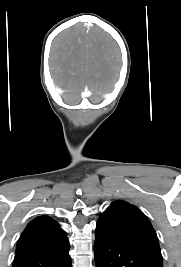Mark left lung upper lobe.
Segmentation results:
<instances>
[{"label": "left lung upper lobe", "mask_w": 181, "mask_h": 267, "mask_svg": "<svg viewBox=\"0 0 181 267\" xmlns=\"http://www.w3.org/2000/svg\"><path fill=\"white\" fill-rule=\"evenodd\" d=\"M96 231L108 232L162 260L155 230L145 214L123 200H116L98 219Z\"/></svg>", "instance_id": "obj_1"}]
</instances>
